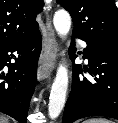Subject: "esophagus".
I'll return each mask as SVG.
<instances>
[{
  "mask_svg": "<svg viewBox=\"0 0 118 123\" xmlns=\"http://www.w3.org/2000/svg\"><path fill=\"white\" fill-rule=\"evenodd\" d=\"M46 30L48 39L47 45L43 48L42 55L40 58V67L38 69L39 80H45L50 77L56 65V56L58 52V45L49 16H47Z\"/></svg>",
  "mask_w": 118,
  "mask_h": 123,
  "instance_id": "34e87169",
  "label": "esophagus"
}]
</instances>
